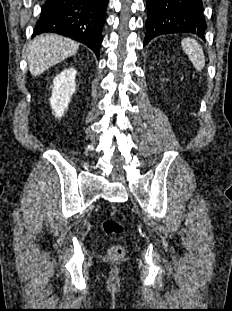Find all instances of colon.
Listing matches in <instances>:
<instances>
[{"mask_svg":"<svg viewBox=\"0 0 232 311\" xmlns=\"http://www.w3.org/2000/svg\"><path fill=\"white\" fill-rule=\"evenodd\" d=\"M102 228L105 234L109 236L120 235L124 228L120 222L115 219H106L102 223ZM125 254L124 247L121 245H113L108 250V257L112 260H119Z\"/></svg>","mask_w":232,"mask_h":311,"instance_id":"1","label":"colon"}]
</instances>
